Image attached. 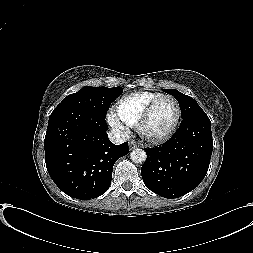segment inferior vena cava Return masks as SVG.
<instances>
[{"label": "inferior vena cava", "instance_id": "1", "mask_svg": "<svg viewBox=\"0 0 253 253\" xmlns=\"http://www.w3.org/2000/svg\"><path fill=\"white\" fill-rule=\"evenodd\" d=\"M108 137L110 141L114 144H122L127 140V138L124 135H122L120 132L116 130L109 131Z\"/></svg>", "mask_w": 253, "mask_h": 253}]
</instances>
